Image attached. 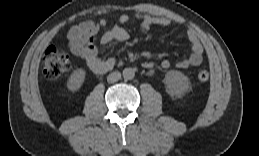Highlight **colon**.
<instances>
[{
    "instance_id": "5ec220e1",
    "label": "colon",
    "mask_w": 259,
    "mask_h": 156,
    "mask_svg": "<svg viewBox=\"0 0 259 156\" xmlns=\"http://www.w3.org/2000/svg\"><path fill=\"white\" fill-rule=\"evenodd\" d=\"M71 68L69 56L54 46L48 47L42 58V71L49 80H57ZM209 72L201 70L197 74L199 83H205L209 79Z\"/></svg>"
}]
</instances>
